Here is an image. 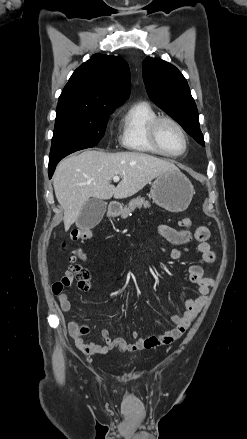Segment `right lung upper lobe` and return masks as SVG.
<instances>
[{"instance_id":"1","label":"right lung upper lobe","mask_w":247,"mask_h":439,"mask_svg":"<svg viewBox=\"0 0 247 439\" xmlns=\"http://www.w3.org/2000/svg\"><path fill=\"white\" fill-rule=\"evenodd\" d=\"M129 93L127 62L119 56L94 54L74 71L62 90L57 109H116L129 98Z\"/></svg>"}]
</instances>
